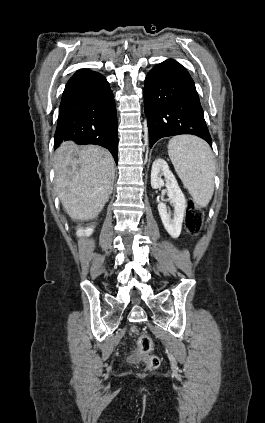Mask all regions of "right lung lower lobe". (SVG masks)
<instances>
[{
	"label": "right lung lower lobe",
	"mask_w": 265,
	"mask_h": 423,
	"mask_svg": "<svg viewBox=\"0 0 265 423\" xmlns=\"http://www.w3.org/2000/svg\"><path fill=\"white\" fill-rule=\"evenodd\" d=\"M107 148L118 161L117 113L113 93L99 73L78 70L67 82L59 108L54 148L64 141Z\"/></svg>",
	"instance_id": "right-lung-lower-lobe-1"
}]
</instances>
